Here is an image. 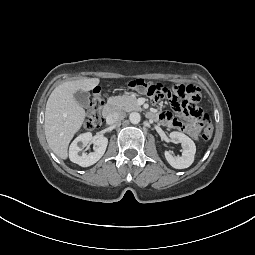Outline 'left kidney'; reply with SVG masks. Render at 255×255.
<instances>
[{
    "label": "left kidney",
    "instance_id": "5707ae66",
    "mask_svg": "<svg viewBox=\"0 0 255 255\" xmlns=\"http://www.w3.org/2000/svg\"><path fill=\"white\" fill-rule=\"evenodd\" d=\"M169 137L172 141H179L183 148L182 156H173L170 152H165L167 162L175 169H184L191 166L194 161L196 146L193 140L181 132H171Z\"/></svg>",
    "mask_w": 255,
    "mask_h": 255
}]
</instances>
